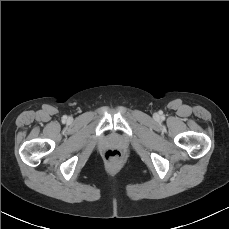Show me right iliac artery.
Here are the masks:
<instances>
[{
	"label": "right iliac artery",
	"mask_w": 229,
	"mask_h": 229,
	"mask_svg": "<svg viewBox=\"0 0 229 229\" xmlns=\"http://www.w3.org/2000/svg\"><path fill=\"white\" fill-rule=\"evenodd\" d=\"M65 120H66V117L64 116V117H63V121H65Z\"/></svg>",
	"instance_id": "1"
}]
</instances>
